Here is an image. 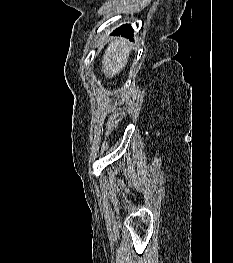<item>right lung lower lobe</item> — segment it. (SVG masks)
Instances as JSON below:
<instances>
[{
	"instance_id": "1",
	"label": "right lung lower lobe",
	"mask_w": 233,
	"mask_h": 263,
	"mask_svg": "<svg viewBox=\"0 0 233 263\" xmlns=\"http://www.w3.org/2000/svg\"><path fill=\"white\" fill-rule=\"evenodd\" d=\"M113 35H122V36H127V37H132L133 36V29L130 25H123L112 33Z\"/></svg>"
}]
</instances>
